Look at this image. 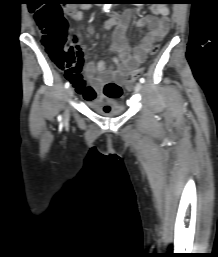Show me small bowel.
<instances>
[{"label":"small bowel","instance_id":"1","mask_svg":"<svg viewBox=\"0 0 218 257\" xmlns=\"http://www.w3.org/2000/svg\"><path fill=\"white\" fill-rule=\"evenodd\" d=\"M82 9H88V6ZM65 11L72 21H80L83 17L81 10L75 6H69ZM133 20L139 28L146 29V34L131 50L126 40V31ZM169 26V8L165 5L153 7L152 14L148 16L136 17L135 9L130 8L118 18L109 19L106 28H114L110 50L118 54L112 58L115 67H108L103 60L89 61L83 76L80 74L78 79L69 77L76 92L85 100H94L102 96V83L117 82L122 85L124 77L137 69L154 44L164 38ZM88 33L94 36V28L89 27Z\"/></svg>","mask_w":218,"mask_h":257}]
</instances>
